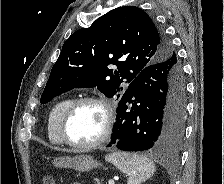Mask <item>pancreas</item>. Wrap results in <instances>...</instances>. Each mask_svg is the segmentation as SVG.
Instances as JSON below:
<instances>
[{"mask_svg": "<svg viewBox=\"0 0 224 184\" xmlns=\"http://www.w3.org/2000/svg\"><path fill=\"white\" fill-rule=\"evenodd\" d=\"M95 184H101L100 182H97V183H95Z\"/></svg>", "mask_w": 224, "mask_h": 184, "instance_id": "1", "label": "pancreas"}]
</instances>
